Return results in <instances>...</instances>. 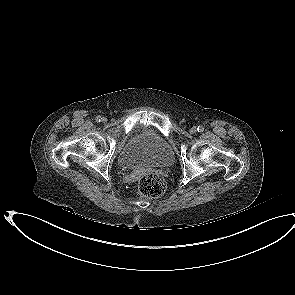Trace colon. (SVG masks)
Here are the masks:
<instances>
[{"label":"colon","instance_id":"1","mask_svg":"<svg viewBox=\"0 0 295 295\" xmlns=\"http://www.w3.org/2000/svg\"><path fill=\"white\" fill-rule=\"evenodd\" d=\"M166 184L164 179L155 173L141 177L137 185V193L142 197L156 198L164 194Z\"/></svg>","mask_w":295,"mask_h":295}]
</instances>
